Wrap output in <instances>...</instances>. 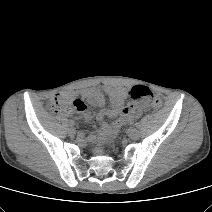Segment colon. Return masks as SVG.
Instances as JSON below:
<instances>
[{"mask_svg": "<svg viewBox=\"0 0 212 212\" xmlns=\"http://www.w3.org/2000/svg\"><path fill=\"white\" fill-rule=\"evenodd\" d=\"M128 95L130 96V98L134 100L148 101L156 108H159L162 106V101L158 97L154 96L148 87L143 85H136L132 87L128 91ZM71 107L75 108L78 111L85 109L84 103L80 100L71 101V100L61 99L59 97H56L50 106L53 112L66 111L70 109Z\"/></svg>", "mask_w": 212, "mask_h": 212, "instance_id": "5ec220e1", "label": "colon"}]
</instances>
